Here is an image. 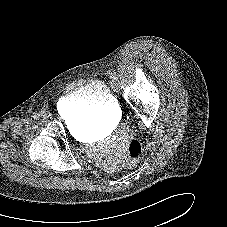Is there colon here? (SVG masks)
I'll list each match as a JSON object with an SVG mask.
<instances>
[{
  "instance_id": "5ec220e1",
  "label": "colon",
  "mask_w": 227,
  "mask_h": 227,
  "mask_svg": "<svg viewBox=\"0 0 227 227\" xmlns=\"http://www.w3.org/2000/svg\"><path fill=\"white\" fill-rule=\"evenodd\" d=\"M142 154V146L139 141L131 140L128 144L127 166H133L137 163Z\"/></svg>"
}]
</instances>
